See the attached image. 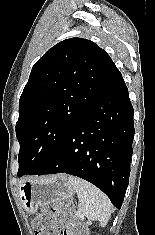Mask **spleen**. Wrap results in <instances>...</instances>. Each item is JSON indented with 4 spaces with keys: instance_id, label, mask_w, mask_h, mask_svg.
Instances as JSON below:
<instances>
[{
    "instance_id": "spleen-1",
    "label": "spleen",
    "mask_w": 155,
    "mask_h": 235,
    "mask_svg": "<svg viewBox=\"0 0 155 235\" xmlns=\"http://www.w3.org/2000/svg\"><path fill=\"white\" fill-rule=\"evenodd\" d=\"M79 199V213L89 220L98 221L106 226L111 216V203L107 196L93 184L77 177L69 176Z\"/></svg>"
}]
</instances>
